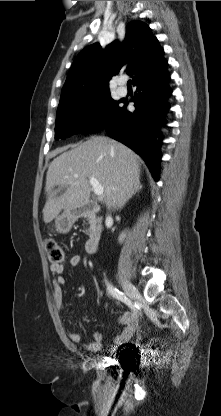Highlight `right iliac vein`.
<instances>
[{"label":"right iliac vein","mask_w":221,"mask_h":416,"mask_svg":"<svg viewBox=\"0 0 221 416\" xmlns=\"http://www.w3.org/2000/svg\"><path fill=\"white\" fill-rule=\"evenodd\" d=\"M120 282L122 284V287L125 293L128 295L129 298L135 299L138 297L139 291L132 283H130L128 280H126L123 277H120Z\"/></svg>","instance_id":"1"}]
</instances>
